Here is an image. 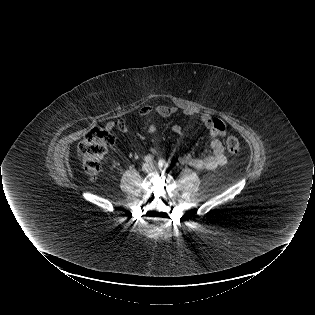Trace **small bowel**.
<instances>
[{
	"instance_id": "c3829d8e",
	"label": "small bowel",
	"mask_w": 315,
	"mask_h": 315,
	"mask_svg": "<svg viewBox=\"0 0 315 315\" xmlns=\"http://www.w3.org/2000/svg\"><path fill=\"white\" fill-rule=\"evenodd\" d=\"M177 111L178 109L174 106L160 104L155 106L141 107L139 110V115L141 117H146L151 114H157L166 118L172 116ZM185 114L190 115L191 113L189 111H185ZM200 120L208 130V133L211 137L210 153L203 158L195 157L189 153H186L181 157V162L199 170H214L220 166H224L227 163L225 149L220 140V138L226 133V127L222 120L214 118L208 113L202 114ZM130 125V121L126 119L120 121L111 120L106 123L105 128L111 131L114 129H119L122 132H127L130 128ZM172 130L179 135L184 133V128L180 124L174 125ZM156 131L157 126L155 124H151L148 128V132L153 134ZM151 151L153 153H158V149L155 147L151 148Z\"/></svg>"
}]
</instances>
